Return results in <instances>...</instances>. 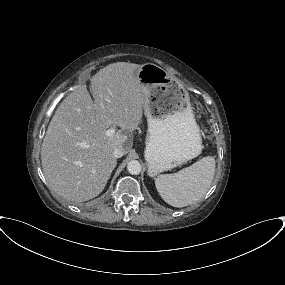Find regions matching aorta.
<instances>
[{"label":"aorta","mask_w":285,"mask_h":285,"mask_svg":"<svg viewBox=\"0 0 285 285\" xmlns=\"http://www.w3.org/2000/svg\"><path fill=\"white\" fill-rule=\"evenodd\" d=\"M142 169V166L140 164L139 161L137 160H131L128 164H127V170L131 175H138L140 174Z\"/></svg>","instance_id":"762f6f07"}]
</instances>
